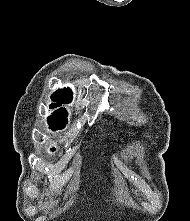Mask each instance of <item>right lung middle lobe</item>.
<instances>
[{"label":"right lung middle lobe","mask_w":190,"mask_h":221,"mask_svg":"<svg viewBox=\"0 0 190 221\" xmlns=\"http://www.w3.org/2000/svg\"><path fill=\"white\" fill-rule=\"evenodd\" d=\"M49 125H50V129L52 130H60L66 125V123L49 122ZM51 150L53 151L55 149L52 148Z\"/></svg>","instance_id":"1"}]
</instances>
